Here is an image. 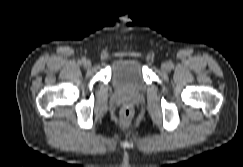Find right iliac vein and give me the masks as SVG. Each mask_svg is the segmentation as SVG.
<instances>
[{"instance_id":"right-iliac-vein-1","label":"right iliac vein","mask_w":243,"mask_h":167,"mask_svg":"<svg viewBox=\"0 0 243 167\" xmlns=\"http://www.w3.org/2000/svg\"><path fill=\"white\" fill-rule=\"evenodd\" d=\"M83 65H84L85 68H90V67H91V61H89V60H85V61L83 62Z\"/></svg>"}]
</instances>
